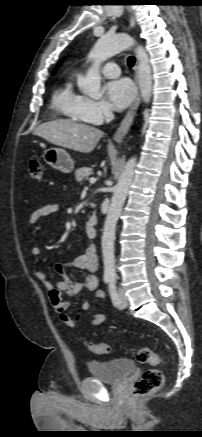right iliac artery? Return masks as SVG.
<instances>
[{"instance_id": "1", "label": "right iliac artery", "mask_w": 202, "mask_h": 437, "mask_svg": "<svg viewBox=\"0 0 202 437\" xmlns=\"http://www.w3.org/2000/svg\"><path fill=\"white\" fill-rule=\"evenodd\" d=\"M110 280H111L110 278H105L106 283L110 282Z\"/></svg>"}]
</instances>
